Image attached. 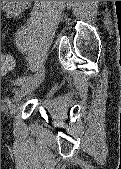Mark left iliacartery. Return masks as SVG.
Segmentation results:
<instances>
[{
	"label": "left iliac artery",
	"instance_id": "44dca946",
	"mask_svg": "<svg viewBox=\"0 0 121 169\" xmlns=\"http://www.w3.org/2000/svg\"><path fill=\"white\" fill-rule=\"evenodd\" d=\"M14 38H15V43H18L16 46V51H20L21 53L23 52L21 50V46H19L20 44L19 43H23V35H22V30H17V34L14 35ZM39 75H44V68H42L40 70V72L38 74H36L35 76H23V77H20L18 78L16 81H15V85L17 86H22V85H25L26 83H28L29 81H31L33 78H35L36 76H39Z\"/></svg>",
	"mask_w": 121,
	"mask_h": 169
}]
</instances>
